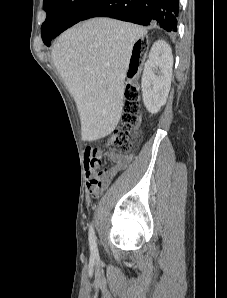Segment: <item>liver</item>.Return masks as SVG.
Returning a JSON list of instances; mask_svg holds the SVG:
<instances>
[{
	"label": "liver",
	"mask_w": 227,
	"mask_h": 298,
	"mask_svg": "<svg viewBox=\"0 0 227 298\" xmlns=\"http://www.w3.org/2000/svg\"><path fill=\"white\" fill-rule=\"evenodd\" d=\"M146 33L138 25L101 17L57 39L52 61L76 102L83 141L104 138L116 128L131 52Z\"/></svg>",
	"instance_id": "1"
}]
</instances>
